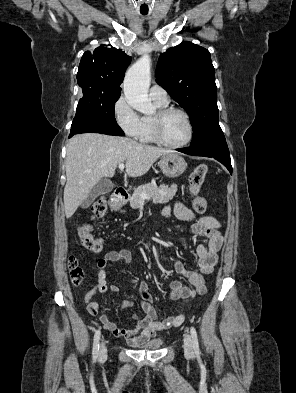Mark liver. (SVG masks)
<instances>
[{
	"mask_svg": "<svg viewBox=\"0 0 296 393\" xmlns=\"http://www.w3.org/2000/svg\"><path fill=\"white\" fill-rule=\"evenodd\" d=\"M170 153L173 152L143 145L127 137L98 133L75 135L67 144L65 161L66 218H70L76 212L91 189L102 178L114 176L120 163H126L128 176L139 177L147 173L159 157Z\"/></svg>",
	"mask_w": 296,
	"mask_h": 393,
	"instance_id": "1",
	"label": "liver"
}]
</instances>
